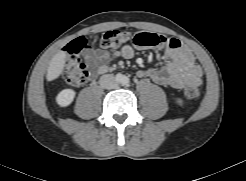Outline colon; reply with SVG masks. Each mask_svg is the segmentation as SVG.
<instances>
[{
	"mask_svg": "<svg viewBox=\"0 0 246 181\" xmlns=\"http://www.w3.org/2000/svg\"><path fill=\"white\" fill-rule=\"evenodd\" d=\"M86 38L79 36L72 40L66 49L67 58L64 64V77L72 86H82L89 81L90 73L87 66L80 59L79 54L86 48ZM132 43L139 48H155L172 44V38L153 32H129L125 30H110L99 39L102 48H118ZM201 91L197 85H188L184 95L189 100L200 97Z\"/></svg>",
	"mask_w": 246,
	"mask_h": 181,
	"instance_id": "5ec220e1",
	"label": "colon"
}]
</instances>
